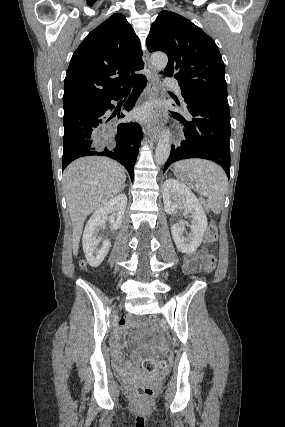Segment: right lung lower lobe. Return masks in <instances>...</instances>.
<instances>
[{
    "mask_svg": "<svg viewBox=\"0 0 285 427\" xmlns=\"http://www.w3.org/2000/svg\"><path fill=\"white\" fill-rule=\"evenodd\" d=\"M146 83L147 79L141 75L131 85L134 89L124 105L127 111L133 108ZM128 88L111 97L82 103L64 111L62 170L80 157L108 156L121 163L133 180L134 165L142 139L139 125L133 122L120 123L113 136L115 143L105 146V138L110 134L106 124L113 117L107 119L106 112L114 108L111 100H119ZM123 117V114L118 113L116 119Z\"/></svg>",
    "mask_w": 285,
    "mask_h": 427,
    "instance_id": "right-lung-lower-lobe-1",
    "label": "right lung lower lobe"
}]
</instances>
